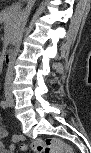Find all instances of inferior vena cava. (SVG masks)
Masks as SVG:
<instances>
[{
    "label": "inferior vena cava",
    "instance_id": "602c4592",
    "mask_svg": "<svg viewBox=\"0 0 91 153\" xmlns=\"http://www.w3.org/2000/svg\"><path fill=\"white\" fill-rule=\"evenodd\" d=\"M35 0H28V4L26 9L21 13L20 15V23L21 26H19V29L17 31V35L15 37L16 39V44H14V50L13 53H19L20 51V47H21V40H22V34L24 31V26L27 22V19L29 17L30 11L34 5ZM12 57L10 58L11 60H9V68L7 70L6 73V77H5V90L8 92V95L11 97V87H12V82H13V70H14V63L16 62L15 60H17V54H12Z\"/></svg>",
    "mask_w": 91,
    "mask_h": 153
}]
</instances>
